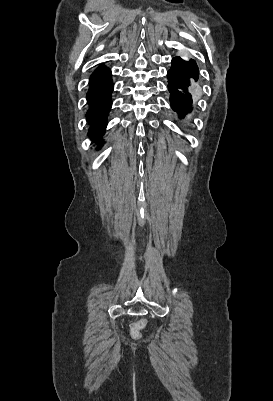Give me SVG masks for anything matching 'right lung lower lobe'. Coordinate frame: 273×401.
I'll return each instance as SVG.
<instances>
[{
	"instance_id": "98d812e1",
	"label": "right lung lower lobe",
	"mask_w": 273,
	"mask_h": 401,
	"mask_svg": "<svg viewBox=\"0 0 273 401\" xmlns=\"http://www.w3.org/2000/svg\"><path fill=\"white\" fill-rule=\"evenodd\" d=\"M90 88L87 93L89 109L86 119L90 125L88 135L97 143H102V136L107 126V117L112 101L113 83L111 71L105 66L98 67L90 76ZM100 148V147H99Z\"/></svg>"
}]
</instances>
